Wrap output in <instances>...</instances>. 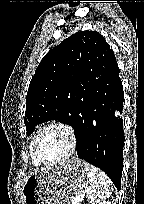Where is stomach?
<instances>
[{
	"instance_id": "0dacf381",
	"label": "stomach",
	"mask_w": 144,
	"mask_h": 204,
	"mask_svg": "<svg viewBox=\"0 0 144 204\" xmlns=\"http://www.w3.org/2000/svg\"><path fill=\"white\" fill-rule=\"evenodd\" d=\"M89 183V164L78 160L44 168L29 175L22 187L23 204H66Z\"/></svg>"
}]
</instances>
